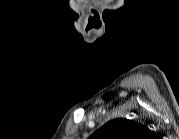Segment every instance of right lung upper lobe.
Here are the masks:
<instances>
[{"mask_svg":"<svg viewBox=\"0 0 179 139\" xmlns=\"http://www.w3.org/2000/svg\"><path fill=\"white\" fill-rule=\"evenodd\" d=\"M152 132L135 121L118 118L109 121L89 139H149Z\"/></svg>","mask_w":179,"mask_h":139,"instance_id":"cb5924a9","label":"right lung upper lobe"}]
</instances>
